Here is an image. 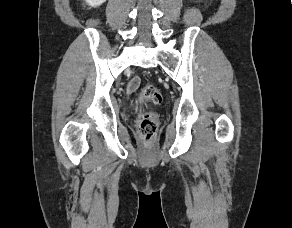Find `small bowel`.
I'll return each instance as SVG.
<instances>
[{
	"label": "small bowel",
	"instance_id": "c3829d8e",
	"mask_svg": "<svg viewBox=\"0 0 292 228\" xmlns=\"http://www.w3.org/2000/svg\"><path fill=\"white\" fill-rule=\"evenodd\" d=\"M139 84H140V78L138 76L132 78V80L129 82L127 86V92L132 93L138 88Z\"/></svg>",
	"mask_w": 292,
	"mask_h": 228
}]
</instances>
